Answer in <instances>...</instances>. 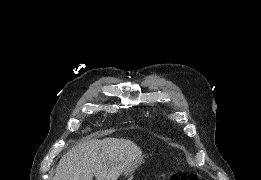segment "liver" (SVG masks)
Masks as SVG:
<instances>
[{
    "instance_id": "liver-1",
    "label": "liver",
    "mask_w": 261,
    "mask_h": 180,
    "mask_svg": "<svg viewBox=\"0 0 261 180\" xmlns=\"http://www.w3.org/2000/svg\"><path fill=\"white\" fill-rule=\"evenodd\" d=\"M141 150L130 140H89L71 148L58 162L53 180H117Z\"/></svg>"
}]
</instances>
